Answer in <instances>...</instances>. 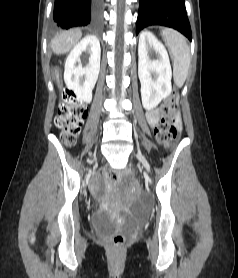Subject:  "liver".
Masks as SVG:
<instances>
[{
    "label": "liver",
    "instance_id": "6515ba94",
    "mask_svg": "<svg viewBox=\"0 0 238 278\" xmlns=\"http://www.w3.org/2000/svg\"><path fill=\"white\" fill-rule=\"evenodd\" d=\"M82 32L79 29L63 32L57 35L51 43V49L57 55L67 53L81 39ZM56 80L59 83V74L56 72Z\"/></svg>",
    "mask_w": 238,
    "mask_h": 278
}]
</instances>
